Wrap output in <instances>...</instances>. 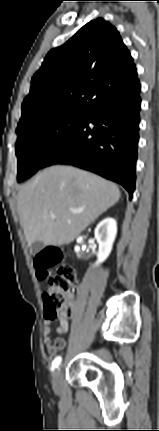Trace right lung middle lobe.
Returning a JSON list of instances; mask_svg holds the SVG:
<instances>
[{"label":"right lung middle lobe","mask_w":159,"mask_h":431,"mask_svg":"<svg viewBox=\"0 0 159 431\" xmlns=\"http://www.w3.org/2000/svg\"><path fill=\"white\" fill-rule=\"evenodd\" d=\"M86 112L66 111L17 130V180L29 178L43 167L48 155L87 117Z\"/></svg>","instance_id":"dd1d6c3e"}]
</instances>
